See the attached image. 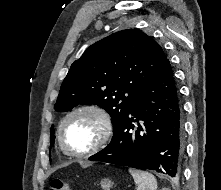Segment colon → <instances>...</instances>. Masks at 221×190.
<instances>
[{
    "label": "colon",
    "mask_w": 221,
    "mask_h": 190,
    "mask_svg": "<svg viewBox=\"0 0 221 190\" xmlns=\"http://www.w3.org/2000/svg\"><path fill=\"white\" fill-rule=\"evenodd\" d=\"M49 190H70V188L64 181L53 179L50 183Z\"/></svg>",
    "instance_id": "colon-1"
}]
</instances>
